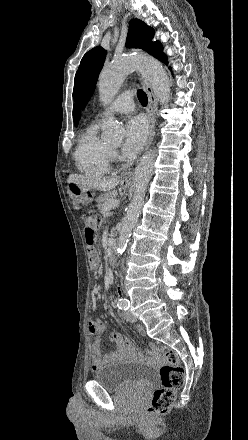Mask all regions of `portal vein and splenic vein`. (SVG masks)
I'll return each instance as SVG.
<instances>
[{"label":"portal vein and splenic vein","instance_id":"obj_1","mask_svg":"<svg viewBox=\"0 0 248 440\" xmlns=\"http://www.w3.org/2000/svg\"><path fill=\"white\" fill-rule=\"evenodd\" d=\"M119 205V200L112 199L105 207V212L110 211L112 208Z\"/></svg>","mask_w":248,"mask_h":440}]
</instances>
